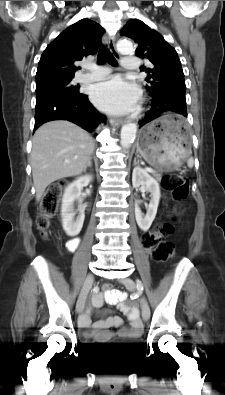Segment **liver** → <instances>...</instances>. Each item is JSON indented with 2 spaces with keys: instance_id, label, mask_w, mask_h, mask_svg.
<instances>
[{
  "instance_id": "obj_1",
  "label": "liver",
  "mask_w": 225,
  "mask_h": 395,
  "mask_svg": "<svg viewBox=\"0 0 225 395\" xmlns=\"http://www.w3.org/2000/svg\"><path fill=\"white\" fill-rule=\"evenodd\" d=\"M31 167L36 201L52 182L81 174L94 150L92 136L67 120L47 122L32 140Z\"/></svg>"
}]
</instances>
